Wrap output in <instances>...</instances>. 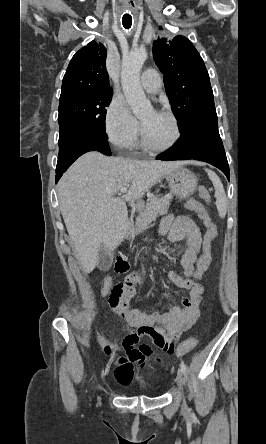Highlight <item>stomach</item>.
Masks as SVG:
<instances>
[{
  "label": "stomach",
  "mask_w": 266,
  "mask_h": 444,
  "mask_svg": "<svg viewBox=\"0 0 266 444\" xmlns=\"http://www.w3.org/2000/svg\"><path fill=\"white\" fill-rule=\"evenodd\" d=\"M165 178L173 195L180 199L191 195L197 187L196 175L183 166L174 169Z\"/></svg>",
  "instance_id": "0dacf381"
}]
</instances>
